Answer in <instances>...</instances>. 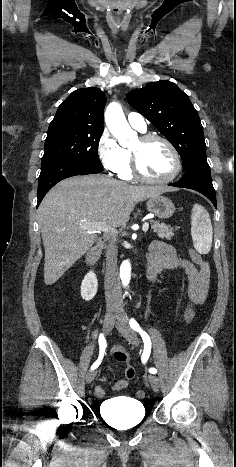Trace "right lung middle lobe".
Instances as JSON below:
<instances>
[{
    "instance_id": "right-lung-middle-lobe-1",
    "label": "right lung middle lobe",
    "mask_w": 236,
    "mask_h": 467,
    "mask_svg": "<svg viewBox=\"0 0 236 467\" xmlns=\"http://www.w3.org/2000/svg\"><path fill=\"white\" fill-rule=\"evenodd\" d=\"M102 132L100 129L64 126L49 128L41 166L59 160H74L103 169L98 157V144Z\"/></svg>"
}]
</instances>
